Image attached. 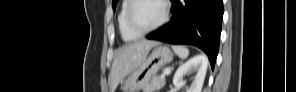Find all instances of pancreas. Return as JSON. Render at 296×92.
Segmentation results:
<instances>
[{
	"label": "pancreas",
	"mask_w": 296,
	"mask_h": 92,
	"mask_svg": "<svg viewBox=\"0 0 296 92\" xmlns=\"http://www.w3.org/2000/svg\"><path fill=\"white\" fill-rule=\"evenodd\" d=\"M165 83V78L155 76L143 87V92H155L163 88Z\"/></svg>",
	"instance_id": "pancreas-1"
}]
</instances>
